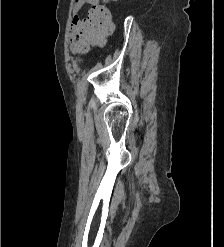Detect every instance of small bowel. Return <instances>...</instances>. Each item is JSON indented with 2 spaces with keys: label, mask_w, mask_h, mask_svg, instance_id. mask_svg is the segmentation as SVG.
Returning a JSON list of instances; mask_svg holds the SVG:
<instances>
[{
  "label": "small bowel",
  "mask_w": 224,
  "mask_h": 247,
  "mask_svg": "<svg viewBox=\"0 0 224 247\" xmlns=\"http://www.w3.org/2000/svg\"><path fill=\"white\" fill-rule=\"evenodd\" d=\"M97 5H99V0H75L73 4L72 19L70 22V42L74 52H80L84 49L79 40L80 29L85 20L81 18V13L85 6H91L92 8Z\"/></svg>",
  "instance_id": "c3829d8e"
}]
</instances>
